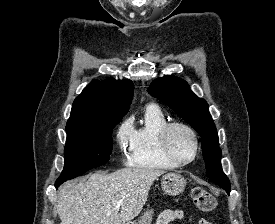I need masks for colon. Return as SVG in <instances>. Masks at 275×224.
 I'll list each match as a JSON object with an SVG mask.
<instances>
[{
    "label": "colon",
    "mask_w": 275,
    "mask_h": 224,
    "mask_svg": "<svg viewBox=\"0 0 275 224\" xmlns=\"http://www.w3.org/2000/svg\"><path fill=\"white\" fill-rule=\"evenodd\" d=\"M191 198L195 208L201 212H210L216 206V198L210 192L200 187L192 189Z\"/></svg>",
    "instance_id": "obj_1"
}]
</instances>
